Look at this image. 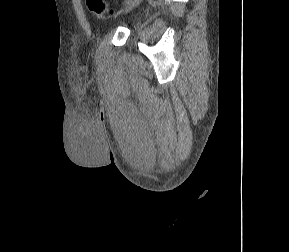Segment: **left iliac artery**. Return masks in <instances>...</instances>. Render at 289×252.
Segmentation results:
<instances>
[{
	"label": "left iliac artery",
	"instance_id": "1",
	"mask_svg": "<svg viewBox=\"0 0 289 252\" xmlns=\"http://www.w3.org/2000/svg\"><path fill=\"white\" fill-rule=\"evenodd\" d=\"M130 0H126V2L128 3Z\"/></svg>",
	"mask_w": 289,
	"mask_h": 252
}]
</instances>
